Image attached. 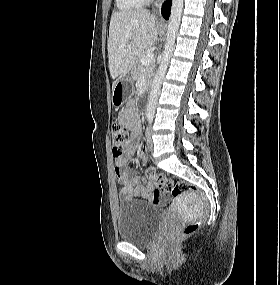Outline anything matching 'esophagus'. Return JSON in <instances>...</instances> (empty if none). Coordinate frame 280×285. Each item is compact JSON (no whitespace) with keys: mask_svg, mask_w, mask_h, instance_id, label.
<instances>
[{"mask_svg":"<svg viewBox=\"0 0 280 285\" xmlns=\"http://www.w3.org/2000/svg\"><path fill=\"white\" fill-rule=\"evenodd\" d=\"M164 0H156L155 3H154V7H153V10L155 11V13L157 15L160 14V7H161V4L163 3Z\"/></svg>","mask_w":280,"mask_h":285,"instance_id":"1","label":"esophagus"}]
</instances>
